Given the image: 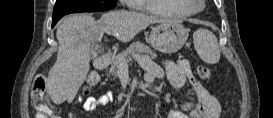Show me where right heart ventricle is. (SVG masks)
<instances>
[{"instance_id": "right-heart-ventricle-1", "label": "right heart ventricle", "mask_w": 273, "mask_h": 118, "mask_svg": "<svg viewBox=\"0 0 273 118\" xmlns=\"http://www.w3.org/2000/svg\"><path fill=\"white\" fill-rule=\"evenodd\" d=\"M134 7L167 16L186 17L190 15V10L183 0H137L134 1Z\"/></svg>"}]
</instances>
